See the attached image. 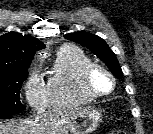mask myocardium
Wrapping results in <instances>:
<instances>
[{"label": "myocardium", "mask_w": 153, "mask_h": 134, "mask_svg": "<svg viewBox=\"0 0 153 134\" xmlns=\"http://www.w3.org/2000/svg\"><path fill=\"white\" fill-rule=\"evenodd\" d=\"M96 71H100L104 73L110 79L111 89L109 91L97 92L92 88L91 78ZM80 83H81V88L84 91V93L93 99L105 97V96L112 94L116 87V79L114 75L104 66L98 63H94V62L87 64L83 68L81 75H80Z\"/></svg>", "instance_id": "myocardium-1"}]
</instances>
